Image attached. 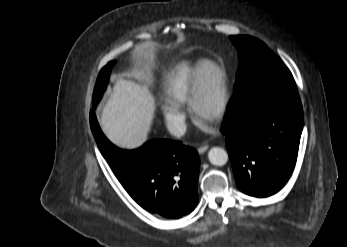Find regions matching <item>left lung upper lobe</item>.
<instances>
[{
  "label": "left lung upper lobe",
  "instance_id": "5c2ea615",
  "mask_svg": "<svg viewBox=\"0 0 347 247\" xmlns=\"http://www.w3.org/2000/svg\"><path fill=\"white\" fill-rule=\"evenodd\" d=\"M230 40L235 45L239 58L235 93L242 91L255 76L270 68L284 66L265 43L254 37L230 36Z\"/></svg>",
  "mask_w": 347,
  "mask_h": 247
}]
</instances>
